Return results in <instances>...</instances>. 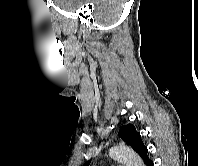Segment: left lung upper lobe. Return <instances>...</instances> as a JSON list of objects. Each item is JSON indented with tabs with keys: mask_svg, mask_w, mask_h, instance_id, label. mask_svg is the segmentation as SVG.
<instances>
[{
	"mask_svg": "<svg viewBox=\"0 0 198 166\" xmlns=\"http://www.w3.org/2000/svg\"><path fill=\"white\" fill-rule=\"evenodd\" d=\"M119 136L129 144L143 159L144 163L149 158L147 147L143 144L140 134L136 131L134 125L129 124L122 126L119 130ZM91 161L86 162L83 166H89Z\"/></svg>",
	"mask_w": 198,
	"mask_h": 166,
	"instance_id": "5c2ea615",
	"label": "left lung upper lobe"
}]
</instances>
